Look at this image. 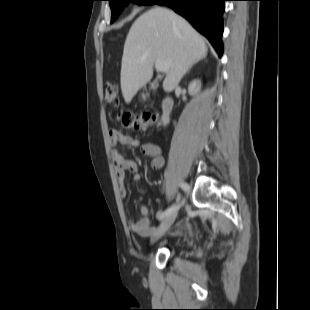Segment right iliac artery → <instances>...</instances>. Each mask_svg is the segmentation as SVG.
Masks as SVG:
<instances>
[{
	"instance_id": "1",
	"label": "right iliac artery",
	"mask_w": 310,
	"mask_h": 310,
	"mask_svg": "<svg viewBox=\"0 0 310 310\" xmlns=\"http://www.w3.org/2000/svg\"><path fill=\"white\" fill-rule=\"evenodd\" d=\"M180 187L185 191V192H189V185L185 182L180 183ZM183 204V202L178 203L177 205H173L170 208H168L160 217V219H163L165 217H167L169 214H171L173 211L179 209L181 207V205Z\"/></svg>"
}]
</instances>
